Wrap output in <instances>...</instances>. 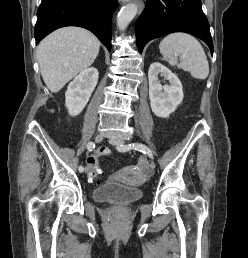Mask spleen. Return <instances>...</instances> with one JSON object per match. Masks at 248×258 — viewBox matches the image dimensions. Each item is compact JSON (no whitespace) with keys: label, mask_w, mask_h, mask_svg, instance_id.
Segmentation results:
<instances>
[{"label":"spleen","mask_w":248,"mask_h":258,"mask_svg":"<svg viewBox=\"0 0 248 258\" xmlns=\"http://www.w3.org/2000/svg\"><path fill=\"white\" fill-rule=\"evenodd\" d=\"M161 55L172 66L177 65L196 79H206L209 64L202 45L190 34L176 32L167 35L159 45ZM179 56V62L177 60Z\"/></svg>","instance_id":"spleen-1"}]
</instances>
